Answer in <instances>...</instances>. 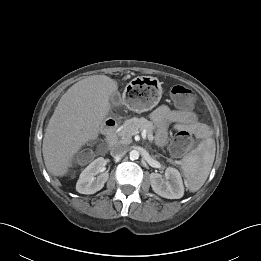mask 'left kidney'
Listing matches in <instances>:
<instances>
[{
	"label": "left kidney",
	"instance_id": "5707ae66",
	"mask_svg": "<svg viewBox=\"0 0 261 261\" xmlns=\"http://www.w3.org/2000/svg\"><path fill=\"white\" fill-rule=\"evenodd\" d=\"M150 183L153 191L167 199H180L184 195V185L180 172L168 167L165 170V177L158 173L150 174Z\"/></svg>",
	"mask_w": 261,
	"mask_h": 261
}]
</instances>
